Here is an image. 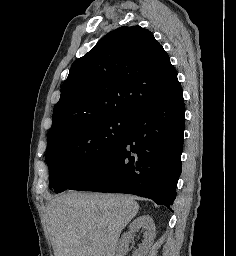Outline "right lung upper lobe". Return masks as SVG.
<instances>
[{
    "label": "right lung upper lobe",
    "mask_w": 236,
    "mask_h": 256,
    "mask_svg": "<svg viewBox=\"0 0 236 256\" xmlns=\"http://www.w3.org/2000/svg\"><path fill=\"white\" fill-rule=\"evenodd\" d=\"M179 86L176 69L150 31L119 27L73 63L48 136L98 119L134 120L147 104Z\"/></svg>",
    "instance_id": "cb5924a9"
}]
</instances>
